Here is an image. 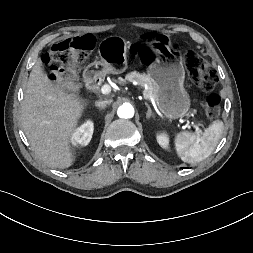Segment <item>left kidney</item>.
Returning a JSON list of instances; mask_svg holds the SVG:
<instances>
[{
	"label": "left kidney",
	"mask_w": 253,
	"mask_h": 253,
	"mask_svg": "<svg viewBox=\"0 0 253 253\" xmlns=\"http://www.w3.org/2000/svg\"><path fill=\"white\" fill-rule=\"evenodd\" d=\"M157 142L162 148H168L169 145V139L166 136V134L161 133L157 135Z\"/></svg>",
	"instance_id": "5707ae66"
}]
</instances>
